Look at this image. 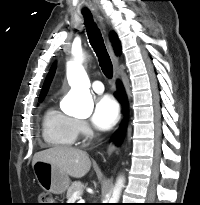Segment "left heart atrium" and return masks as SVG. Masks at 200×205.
Wrapping results in <instances>:
<instances>
[{"label":"left heart atrium","instance_id":"obj_1","mask_svg":"<svg viewBox=\"0 0 200 205\" xmlns=\"http://www.w3.org/2000/svg\"><path fill=\"white\" fill-rule=\"evenodd\" d=\"M119 117V105L112 96L105 95L97 100L92 116V122L97 128L108 130L117 123Z\"/></svg>","mask_w":200,"mask_h":205}]
</instances>
